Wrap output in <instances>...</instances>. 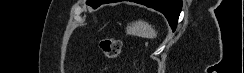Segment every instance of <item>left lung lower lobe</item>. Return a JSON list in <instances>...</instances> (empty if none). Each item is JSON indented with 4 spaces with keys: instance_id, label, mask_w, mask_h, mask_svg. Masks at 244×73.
Masks as SVG:
<instances>
[{
    "instance_id": "1",
    "label": "left lung lower lobe",
    "mask_w": 244,
    "mask_h": 73,
    "mask_svg": "<svg viewBox=\"0 0 244 73\" xmlns=\"http://www.w3.org/2000/svg\"><path fill=\"white\" fill-rule=\"evenodd\" d=\"M147 7L160 11L167 18L173 31L176 29L179 14L182 8L181 0H131ZM118 2L117 0H101L102 3Z\"/></svg>"
}]
</instances>
